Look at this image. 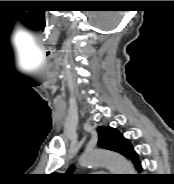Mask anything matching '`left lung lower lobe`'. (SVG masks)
Wrapping results in <instances>:
<instances>
[{
    "label": "left lung lower lobe",
    "instance_id": "1",
    "mask_svg": "<svg viewBox=\"0 0 174 184\" xmlns=\"http://www.w3.org/2000/svg\"><path fill=\"white\" fill-rule=\"evenodd\" d=\"M127 157H129L130 159H132L134 165L136 166V168L138 169V171L142 170L141 164L138 162V156L137 153L134 151L133 147L131 146L128 151L125 154Z\"/></svg>",
    "mask_w": 174,
    "mask_h": 184
}]
</instances>
